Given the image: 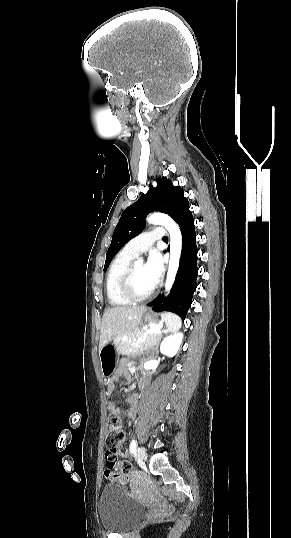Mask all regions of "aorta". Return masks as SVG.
<instances>
[{
	"instance_id": "obj_1",
	"label": "aorta",
	"mask_w": 291,
	"mask_h": 538,
	"mask_svg": "<svg viewBox=\"0 0 291 538\" xmlns=\"http://www.w3.org/2000/svg\"><path fill=\"white\" fill-rule=\"evenodd\" d=\"M147 221L150 224L163 225L170 234V260L165 283V291L168 293L174 283L179 268V261L182 249V235L178 225L169 216L165 214L154 213L147 218ZM142 264V258L136 261L137 266H141Z\"/></svg>"
}]
</instances>
